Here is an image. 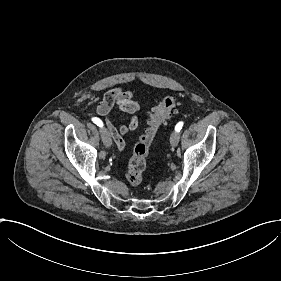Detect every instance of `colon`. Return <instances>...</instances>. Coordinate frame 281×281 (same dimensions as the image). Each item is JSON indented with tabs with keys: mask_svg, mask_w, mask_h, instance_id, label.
<instances>
[{
	"mask_svg": "<svg viewBox=\"0 0 281 281\" xmlns=\"http://www.w3.org/2000/svg\"><path fill=\"white\" fill-rule=\"evenodd\" d=\"M175 107V97L166 95L149 114L125 173V180L130 186H138L141 183L151 146L158 135L161 125L170 116Z\"/></svg>",
	"mask_w": 281,
	"mask_h": 281,
	"instance_id": "1",
	"label": "colon"
}]
</instances>
